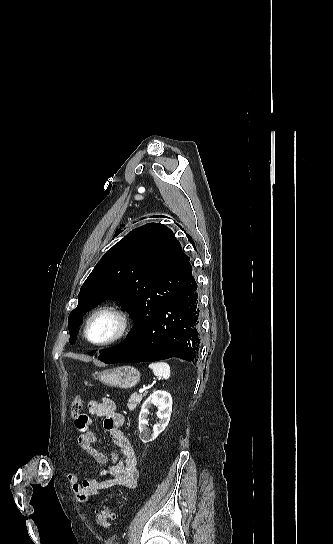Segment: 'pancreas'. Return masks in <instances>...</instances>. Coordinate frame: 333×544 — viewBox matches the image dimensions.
<instances>
[{
    "mask_svg": "<svg viewBox=\"0 0 333 544\" xmlns=\"http://www.w3.org/2000/svg\"><path fill=\"white\" fill-rule=\"evenodd\" d=\"M146 394H132L128 400L127 407L130 411L134 410L138 403H140Z\"/></svg>",
    "mask_w": 333,
    "mask_h": 544,
    "instance_id": "obj_1",
    "label": "pancreas"
}]
</instances>
